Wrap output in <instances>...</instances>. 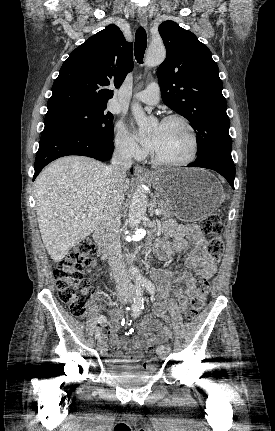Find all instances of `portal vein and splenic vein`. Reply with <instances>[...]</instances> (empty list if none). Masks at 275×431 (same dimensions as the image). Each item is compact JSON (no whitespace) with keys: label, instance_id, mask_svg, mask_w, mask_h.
<instances>
[{"label":"portal vein and splenic vein","instance_id":"18ae733b","mask_svg":"<svg viewBox=\"0 0 275 431\" xmlns=\"http://www.w3.org/2000/svg\"><path fill=\"white\" fill-rule=\"evenodd\" d=\"M155 214H156V215H160V214H162V211H161L160 209H156V210H155Z\"/></svg>","mask_w":275,"mask_h":431}]
</instances>
